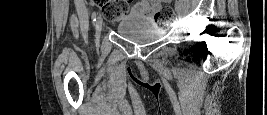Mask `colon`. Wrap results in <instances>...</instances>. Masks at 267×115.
<instances>
[{
    "label": "colon",
    "mask_w": 267,
    "mask_h": 115,
    "mask_svg": "<svg viewBox=\"0 0 267 115\" xmlns=\"http://www.w3.org/2000/svg\"><path fill=\"white\" fill-rule=\"evenodd\" d=\"M129 11L126 0L106 2L101 7V15L108 22H117L124 18ZM155 20L159 22H171L176 19V10L169 5L159 6L154 14Z\"/></svg>",
    "instance_id": "obj_1"
}]
</instances>
